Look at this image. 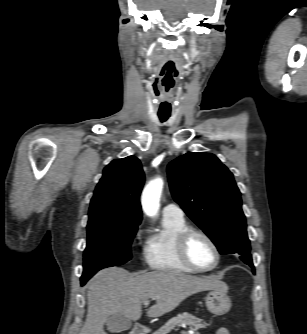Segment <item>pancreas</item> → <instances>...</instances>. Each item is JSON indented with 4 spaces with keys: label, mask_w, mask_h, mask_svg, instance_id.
<instances>
[{
    "label": "pancreas",
    "mask_w": 307,
    "mask_h": 334,
    "mask_svg": "<svg viewBox=\"0 0 307 334\" xmlns=\"http://www.w3.org/2000/svg\"><path fill=\"white\" fill-rule=\"evenodd\" d=\"M182 324L189 326L190 329L195 331L207 326L202 319L184 312L170 319L164 326L153 332V334H168L172 330H177V327H180Z\"/></svg>",
    "instance_id": "1"
}]
</instances>
